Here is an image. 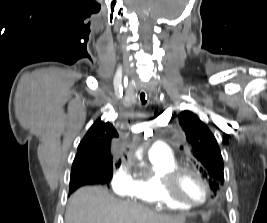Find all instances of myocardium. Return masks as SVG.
I'll return each instance as SVG.
<instances>
[{
  "label": "myocardium",
  "instance_id": "myocardium-1",
  "mask_svg": "<svg viewBox=\"0 0 267 223\" xmlns=\"http://www.w3.org/2000/svg\"><path fill=\"white\" fill-rule=\"evenodd\" d=\"M186 172L194 174L202 182L205 189V196L202 201L195 202L188 200L179 193L177 188L178 182L180 177ZM161 184L162 191L166 199L189 208H197L204 205L211 194L210 185L205 176L198 169L189 165H177L166 172L161 179Z\"/></svg>",
  "mask_w": 267,
  "mask_h": 223
}]
</instances>
